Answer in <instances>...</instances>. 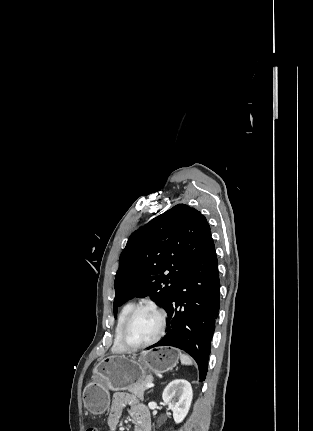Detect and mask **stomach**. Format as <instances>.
Segmentation results:
<instances>
[{
    "label": "stomach",
    "mask_w": 313,
    "mask_h": 431,
    "mask_svg": "<svg viewBox=\"0 0 313 431\" xmlns=\"http://www.w3.org/2000/svg\"><path fill=\"white\" fill-rule=\"evenodd\" d=\"M178 360L179 353L166 348L145 351L138 358L121 355L105 357L97 364L92 381L84 388V405L94 415L103 414L110 404V390L127 389L146 380L149 372H167Z\"/></svg>",
    "instance_id": "1"
}]
</instances>
